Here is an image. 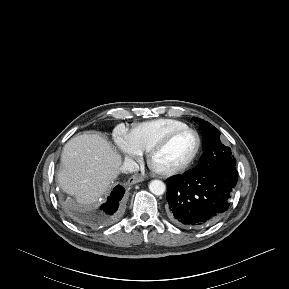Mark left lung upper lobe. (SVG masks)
Wrapping results in <instances>:
<instances>
[{"instance_id":"5c2ea615","label":"left lung upper lobe","mask_w":289,"mask_h":289,"mask_svg":"<svg viewBox=\"0 0 289 289\" xmlns=\"http://www.w3.org/2000/svg\"><path fill=\"white\" fill-rule=\"evenodd\" d=\"M201 126L203 137V155L196 168H206L217 164H229L235 166V160L231 156V149L220 141V132L209 122L200 118H193Z\"/></svg>"}]
</instances>
